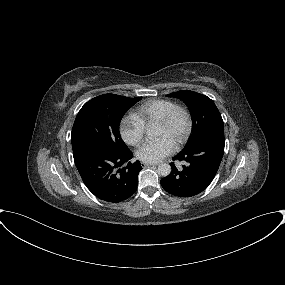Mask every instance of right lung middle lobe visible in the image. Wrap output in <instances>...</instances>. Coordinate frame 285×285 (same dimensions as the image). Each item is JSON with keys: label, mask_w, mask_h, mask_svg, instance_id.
<instances>
[{"label": "right lung middle lobe", "mask_w": 285, "mask_h": 285, "mask_svg": "<svg viewBox=\"0 0 285 285\" xmlns=\"http://www.w3.org/2000/svg\"><path fill=\"white\" fill-rule=\"evenodd\" d=\"M139 100L141 98L104 94L85 103L73 125L72 148L90 144L113 153L127 152L129 149L120 136L119 125L126 111Z\"/></svg>", "instance_id": "dd1d6c3e"}]
</instances>
